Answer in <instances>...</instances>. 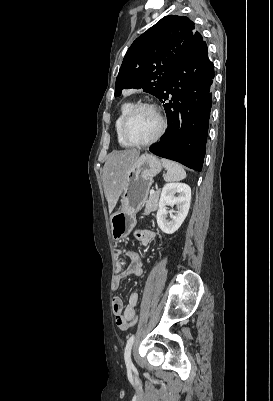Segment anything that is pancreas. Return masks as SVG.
I'll use <instances>...</instances> for the list:
<instances>
[{
  "instance_id": "1",
  "label": "pancreas",
  "mask_w": 273,
  "mask_h": 401,
  "mask_svg": "<svg viewBox=\"0 0 273 401\" xmlns=\"http://www.w3.org/2000/svg\"><path fill=\"white\" fill-rule=\"evenodd\" d=\"M160 190H155L150 194L148 201H146L145 211L143 215H149L152 211H156L158 207V198H159Z\"/></svg>"
}]
</instances>
